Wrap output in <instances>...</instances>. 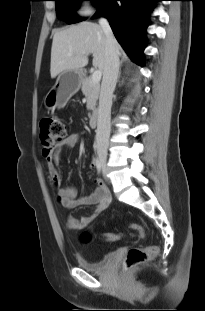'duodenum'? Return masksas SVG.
<instances>
[{
  "mask_svg": "<svg viewBox=\"0 0 205 311\" xmlns=\"http://www.w3.org/2000/svg\"><path fill=\"white\" fill-rule=\"evenodd\" d=\"M98 111L95 109L91 111L90 116H89V123L91 126H96L98 123Z\"/></svg>",
  "mask_w": 205,
  "mask_h": 311,
  "instance_id": "1",
  "label": "duodenum"
}]
</instances>
